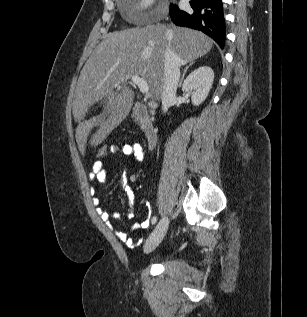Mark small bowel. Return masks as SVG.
Wrapping results in <instances>:
<instances>
[{"label":"small bowel","mask_w":307,"mask_h":317,"mask_svg":"<svg viewBox=\"0 0 307 317\" xmlns=\"http://www.w3.org/2000/svg\"><path fill=\"white\" fill-rule=\"evenodd\" d=\"M112 154H122L124 156H129V157H134L137 161H143L145 158L144 150L142 146L139 143L131 142V143H126V144H114L112 146ZM91 180H96L100 184H104L107 180V170L104 166L103 162L96 161L92 165V173L90 175ZM122 190L125 193L128 203L130 206V210L127 214V217L129 219H132L134 217L133 213V205H134V200H135V195L132 190V188L127 184V181L122 184ZM94 203L96 205L99 204V200L97 198L94 199ZM101 219L110 224L111 219H120L121 218V213L120 212H113V213H108L105 211H100L99 212ZM153 219V218H152ZM147 223L143 222L140 227H146ZM116 236L124 242L128 247H135L138 245L140 242L135 241L131 239L127 233L123 231L116 230L115 231Z\"/></svg>","instance_id":"obj_1"}]
</instances>
